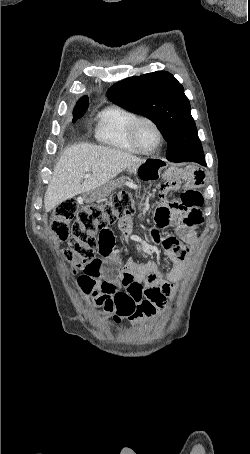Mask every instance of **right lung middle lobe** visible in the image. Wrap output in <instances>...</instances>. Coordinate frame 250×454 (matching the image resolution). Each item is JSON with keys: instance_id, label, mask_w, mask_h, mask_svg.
Instances as JSON below:
<instances>
[{"instance_id": "1", "label": "right lung middle lobe", "mask_w": 250, "mask_h": 454, "mask_svg": "<svg viewBox=\"0 0 250 454\" xmlns=\"http://www.w3.org/2000/svg\"><path fill=\"white\" fill-rule=\"evenodd\" d=\"M88 106H89L88 102L83 103V104H78L75 106L74 111H73V116H74L73 122H75L78 118H81L84 115Z\"/></svg>"}]
</instances>
